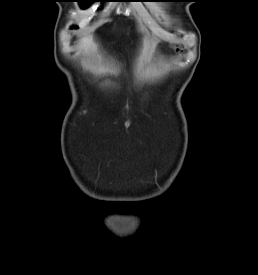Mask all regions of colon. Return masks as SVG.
Wrapping results in <instances>:
<instances>
[{
    "instance_id": "5ec220e1",
    "label": "colon",
    "mask_w": 258,
    "mask_h": 275,
    "mask_svg": "<svg viewBox=\"0 0 258 275\" xmlns=\"http://www.w3.org/2000/svg\"><path fill=\"white\" fill-rule=\"evenodd\" d=\"M175 48H176L177 51H181L182 50L181 47H179V46H177Z\"/></svg>"
}]
</instances>
